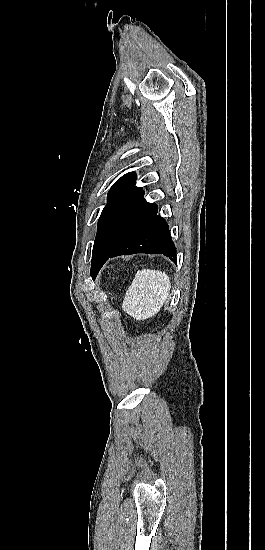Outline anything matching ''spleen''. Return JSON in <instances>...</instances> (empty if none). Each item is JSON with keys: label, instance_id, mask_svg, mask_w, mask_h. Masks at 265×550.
Instances as JSON below:
<instances>
[{"label": "spleen", "instance_id": "1", "mask_svg": "<svg viewBox=\"0 0 265 550\" xmlns=\"http://www.w3.org/2000/svg\"><path fill=\"white\" fill-rule=\"evenodd\" d=\"M170 278L159 270L142 269L126 292L122 309L136 320H145L160 311L169 296Z\"/></svg>", "mask_w": 265, "mask_h": 550}]
</instances>
